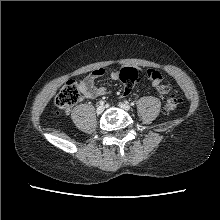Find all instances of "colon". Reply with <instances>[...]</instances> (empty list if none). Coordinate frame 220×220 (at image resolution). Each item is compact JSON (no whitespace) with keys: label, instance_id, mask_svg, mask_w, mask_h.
Returning <instances> with one entry per match:
<instances>
[{"label":"colon","instance_id":"5ec220e1","mask_svg":"<svg viewBox=\"0 0 220 220\" xmlns=\"http://www.w3.org/2000/svg\"><path fill=\"white\" fill-rule=\"evenodd\" d=\"M138 70L133 67L123 68L120 72V80L124 85L123 93L128 94L131 92L138 79ZM147 76L152 80H162L161 74L154 70L148 69ZM157 91L162 95L170 94V87L168 85L159 84ZM79 87L76 81L68 80L60 89L56 96V106L64 111H68L73 107L79 99ZM178 99L174 96H169L165 101V111L167 113L173 112L178 106Z\"/></svg>","mask_w":220,"mask_h":220}]
</instances>
